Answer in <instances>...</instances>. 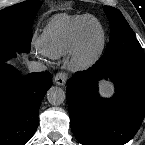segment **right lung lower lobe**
<instances>
[{"mask_svg":"<svg viewBox=\"0 0 145 145\" xmlns=\"http://www.w3.org/2000/svg\"><path fill=\"white\" fill-rule=\"evenodd\" d=\"M50 87V73L21 76L13 66L0 62V145H24L30 140Z\"/></svg>","mask_w":145,"mask_h":145,"instance_id":"1","label":"right lung lower lobe"}]
</instances>
